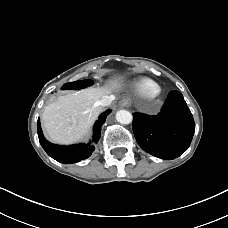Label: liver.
<instances>
[{"instance_id":"6515ba94","label":"liver","mask_w":228,"mask_h":228,"mask_svg":"<svg viewBox=\"0 0 228 228\" xmlns=\"http://www.w3.org/2000/svg\"><path fill=\"white\" fill-rule=\"evenodd\" d=\"M120 87L110 81L104 87L87 88L58 97L42 114L43 127L50 140L69 144L88 134L101 109L97 102Z\"/></svg>"}]
</instances>
